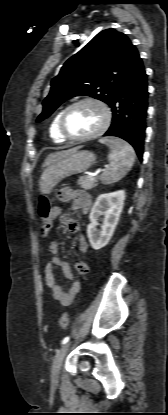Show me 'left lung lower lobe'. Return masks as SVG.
<instances>
[{
  "mask_svg": "<svg viewBox=\"0 0 168 415\" xmlns=\"http://www.w3.org/2000/svg\"><path fill=\"white\" fill-rule=\"evenodd\" d=\"M109 106L113 118L104 136H116L126 140L134 147L141 160L148 108L147 75L141 58L124 79Z\"/></svg>",
  "mask_w": 168,
  "mask_h": 415,
  "instance_id": "left-lung-lower-lobe-1",
  "label": "left lung lower lobe"
}]
</instances>
